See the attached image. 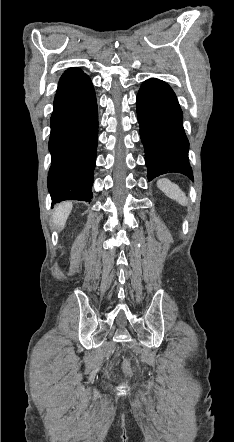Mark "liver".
Wrapping results in <instances>:
<instances>
[{"instance_id":"6515ba94","label":"liver","mask_w":234,"mask_h":442,"mask_svg":"<svg viewBox=\"0 0 234 442\" xmlns=\"http://www.w3.org/2000/svg\"><path fill=\"white\" fill-rule=\"evenodd\" d=\"M72 210L71 202H62L54 208L53 223L62 229L67 221V218Z\"/></svg>"}]
</instances>
